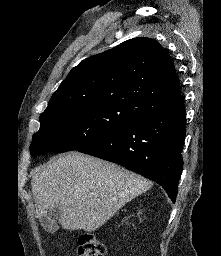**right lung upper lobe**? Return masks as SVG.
<instances>
[{
	"instance_id": "obj_1",
	"label": "right lung upper lobe",
	"mask_w": 221,
	"mask_h": 256,
	"mask_svg": "<svg viewBox=\"0 0 221 256\" xmlns=\"http://www.w3.org/2000/svg\"><path fill=\"white\" fill-rule=\"evenodd\" d=\"M183 103L171 58L150 38H134L74 67L42 114L114 104L141 117Z\"/></svg>"
}]
</instances>
